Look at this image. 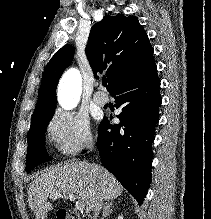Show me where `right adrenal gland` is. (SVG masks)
<instances>
[{"label": "right adrenal gland", "mask_w": 211, "mask_h": 219, "mask_svg": "<svg viewBox=\"0 0 211 219\" xmlns=\"http://www.w3.org/2000/svg\"><path fill=\"white\" fill-rule=\"evenodd\" d=\"M112 205H113L112 201L109 203H105L101 219L108 217L113 212Z\"/></svg>", "instance_id": "1"}]
</instances>
